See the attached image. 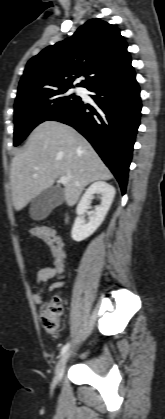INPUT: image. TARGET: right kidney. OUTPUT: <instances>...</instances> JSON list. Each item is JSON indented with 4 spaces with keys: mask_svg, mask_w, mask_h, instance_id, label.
I'll use <instances>...</instances> for the list:
<instances>
[{
    "mask_svg": "<svg viewBox=\"0 0 165 419\" xmlns=\"http://www.w3.org/2000/svg\"><path fill=\"white\" fill-rule=\"evenodd\" d=\"M94 194L101 195V204L95 208L94 217L88 223H84L82 215L90 207ZM115 194V188L104 181L94 182L87 188L76 208L78 216L74 221L71 231V236L74 241L80 242L96 231L104 221Z\"/></svg>",
    "mask_w": 165,
    "mask_h": 419,
    "instance_id": "right-kidney-1",
    "label": "right kidney"
}]
</instances>
